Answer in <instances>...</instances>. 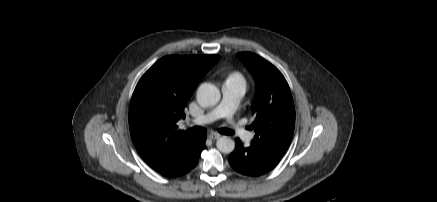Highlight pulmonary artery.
<instances>
[{
  "instance_id": "1",
  "label": "pulmonary artery",
  "mask_w": 437,
  "mask_h": 202,
  "mask_svg": "<svg viewBox=\"0 0 437 202\" xmlns=\"http://www.w3.org/2000/svg\"><path fill=\"white\" fill-rule=\"evenodd\" d=\"M245 92V83L239 77H229L222 86V99L220 103L207 112L196 118L194 123L204 125L212 123L220 118H226L233 133L244 141H250L253 133L247 131L235 118L234 114L238 103Z\"/></svg>"
}]
</instances>
